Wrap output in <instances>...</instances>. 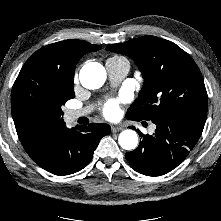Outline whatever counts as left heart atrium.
<instances>
[{
	"mask_svg": "<svg viewBox=\"0 0 221 221\" xmlns=\"http://www.w3.org/2000/svg\"><path fill=\"white\" fill-rule=\"evenodd\" d=\"M124 100V97L107 100L102 106L103 115L109 119L116 118L120 114V103Z\"/></svg>",
	"mask_w": 221,
	"mask_h": 221,
	"instance_id": "obj_1",
	"label": "left heart atrium"
}]
</instances>
